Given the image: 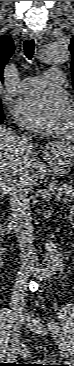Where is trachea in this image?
Here are the masks:
<instances>
[{"instance_id":"3493384b","label":"trachea","mask_w":74,"mask_h":366,"mask_svg":"<svg viewBox=\"0 0 74 366\" xmlns=\"http://www.w3.org/2000/svg\"><path fill=\"white\" fill-rule=\"evenodd\" d=\"M23 49L26 57L31 60L33 58L35 50L34 39H26L23 43Z\"/></svg>"}]
</instances>
